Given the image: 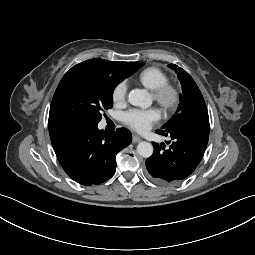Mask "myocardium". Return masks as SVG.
I'll return each mask as SVG.
<instances>
[{
  "mask_svg": "<svg viewBox=\"0 0 255 255\" xmlns=\"http://www.w3.org/2000/svg\"><path fill=\"white\" fill-rule=\"evenodd\" d=\"M154 100L165 110L174 109L180 100L179 88L171 83L163 84L152 91Z\"/></svg>",
  "mask_w": 255,
  "mask_h": 255,
  "instance_id": "f54148a6",
  "label": "myocardium"
}]
</instances>
